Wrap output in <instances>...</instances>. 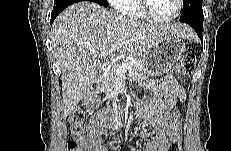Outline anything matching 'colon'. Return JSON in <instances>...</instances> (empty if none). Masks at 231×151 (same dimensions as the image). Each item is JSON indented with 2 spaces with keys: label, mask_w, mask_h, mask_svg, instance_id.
I'll list each match as a JSON object with an SVG mask.
<instances>
[{
  "label": "colon",
  "mask_w": 231,
  "mask_h": 151,
  "mask_svg": "<svg viewBox=\"0 0 231 151\" xmlns=\"http://www.w3.org/2000/svg\"><path fill=\"white\" fill-rule=\"evenodd\" d=\"M195 67V56L192 54L183 55L175 65V72L179 75H190ZM71 133L74 141L68 145L69 151H78L79 144L85 140L84 113L75 109L68 117ZM170 139L166 151H181L182 123L180 112L173 107L170 110L169 118Z\"/></svg>",
  "instance_id": "obj_1"
}]
</instances>
